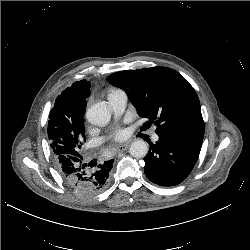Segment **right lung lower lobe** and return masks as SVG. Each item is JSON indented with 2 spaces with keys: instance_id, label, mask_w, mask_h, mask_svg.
<instances>
[{
  "instance_id": "right-lung-lower-lobe-1",
  "label": "right lung lower lobe",
  "mask_w": 250,
  "mask_h": 250,
  "mask_svg": "<svg viewBox=\"0 0 250 250\" xmlns=\"http://www.w3.org/2000/svg\"><path fill=\"white\" fill-rule=\"evenodd\" d=\"M71 158L61 155L56 160L57 170L64 180L80 194L85 196L101 192L109 182V173L113 167V160L93 165L90 169L83 161V157Z\"/></svg>"
}]
</instances>
